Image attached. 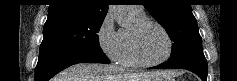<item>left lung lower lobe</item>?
Here are the masks:
<instances>
[{
    "label": "left lung lower lobe",
    "instance_id": "left-lung-lower-lobe-1",
    "mask_svg": "<svg viewBox=\"0 0 237 81\" xmlns=\"http://www.w3.org/2000/svg\"><path fill=\"white\" fill-rule=\"evenodd\" d=\"M153 68H180V69H186L189 70L195 74H197L202 81H207V61H189L186 63L178 64V65H166L165 63H162L156 67Z\"/></svg>",
    "mask_w": 237,
    "mask_h": 81
}]
</instances>
